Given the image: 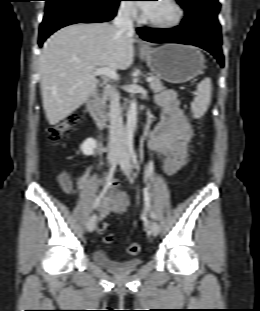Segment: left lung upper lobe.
<instances>
[{"instance_id":"obj_1","label":"left lung upper lobe","mask_w":260,"mask_h":311,"mask_svg":"<svg viewBox=\"0 0 260 311\" xmlns=\"http://www.w3.org/2000/svg\"><path fill=\"white\" fill-rule=\"evenodd\" d=\"M185 9L187 22H205L220 27L217 15L220 9L218 0H176Z\"/></svg>"}]
</instances>
